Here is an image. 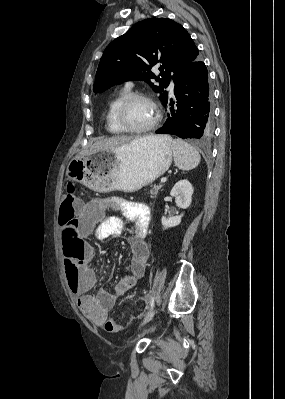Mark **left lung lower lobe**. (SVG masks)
Wrapping results in <instances>:
<instances>
[{
    "instance_id": "left-lung-lower-lobe-1",
    "label": "left lung lower lobe",
    "mask_w": 285,
    "mask_h": 399,
    "mask_svg": "<svg viewBox=\"0 0 285 399\" xmlns=\"http://www.w3.org/2000/svg\"><path fill=\"white\" fill-rule=\"evenodd\" d=\"M174 95L166 101L168 119L158 134L205 140L213 133L212 92L208 71L200 57L191 61L174 79Z\"/></svg>"
}]
</instances>
